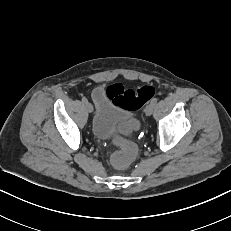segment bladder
<instances>
[{
	"label": "bladder",
	"instance_id": "bladder-1",
	"mask_svg": "<svg viewBox=\"0 0 231 231\" xmlns=\"http://www.w3.org/2000/svg\"><path fill=\"white\" fill-rule=\"evenodd\" d=\"M92 96L95 103L92 134L98 140L111 139L117 124L129 119L131 113L116 105L102 86L96 87Z\"/></svg>",
	"mask_w": 231,
	"mask_h": 231
}]
</instances>
